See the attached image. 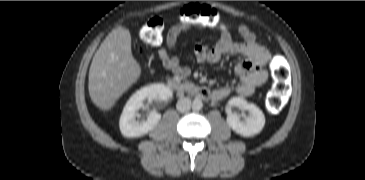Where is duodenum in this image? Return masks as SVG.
Wrapping results in <instances>:
<instances>
[{
  "mask_svg": "<svg viewBox=\"0 0 365 180\" xmlns=\"http://www.w3.org/2000/svg\"><path fill=\"white\" fill-rule=\"evenodd\" d=\"M167 85L170 89L174 90L178 94L191 93L203 100H208L211 98V93L207 89L194 84L185 83L174 79L169 80Z\"/></svg>",
  "mask_w": 365,
  "mask_h": 180,
  "instance_id": "duodenum-1",
  "label": "duodenum"
}]
</instances>
